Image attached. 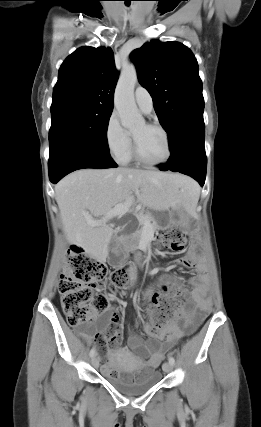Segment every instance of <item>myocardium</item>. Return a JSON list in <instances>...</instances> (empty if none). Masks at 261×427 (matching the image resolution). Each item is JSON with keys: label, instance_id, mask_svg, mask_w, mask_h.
Listing matches in <instances>:
<instances>
[{"label": "myocardium", "instance_id": "1", "mask_svg": "<svg viewBox=\"0 0 261 427\" xmlns=\"http://www.w3.org/2000/svg\"><path fill=\"white\" fill-rule=\"evenodd\" d=\"M145 125L149 128H154V129H158L159 131L162 132V134L164 135L165 141H166V145H167V155L165 156L164 159L157 161V162H150L147 161L146 159H144L138 149V145H137V141L135 139V137L132 135V140H133V145H132V155L134 157V159L141 165L147 166V167H156V166H160L164 163H166L172 156V145H171V140H170V136L168 131L159 123H155V122H148L145 123Z\"/></svg>", "mask_w": 261, "mask_h": 427}]
</instances>
